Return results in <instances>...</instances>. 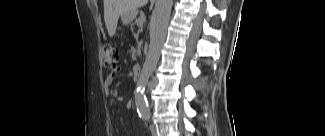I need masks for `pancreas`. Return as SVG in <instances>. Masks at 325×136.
I'll return each mask as SVG.
<instances>
[{"mask_svg":"<svg viewBox=\"0 0 325 136\" xmlns=\"http://www.w3.org/2000/svg\"><path fill=\"white\" fill-rule=\"evenodd\" d=\"M135 23H137V21H135ZM135 23H130V26H131V27H129V28L127 29V32H128L129 34H132V33L135 31V30H134V29L136 28ZM132 36H133V38L136 39V38H138L139 35H138V33L135 32V33H133Z\"/></svg>","mask_w":325,"mask_h":136,"instance_id":"cf45deb5","label":"pancreas"}]
</instances>
